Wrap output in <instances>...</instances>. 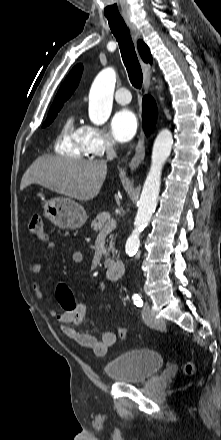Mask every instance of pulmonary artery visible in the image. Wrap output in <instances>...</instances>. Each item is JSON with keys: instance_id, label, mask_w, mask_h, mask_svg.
Wrapping results in <instances>:
<instances>
[{"instance_id": "e3ab8cb5", "label": "pulmonary artery", "mask_w": 221, "mask_h": 440, "mask_svg": "<svg viewBox=\"0 0 221 440\" xmlns=\"http://www.w3.org/2000/svg\"><path fill=\"white\" fill-rule=\"evenodd\" d=\"M115 100L122 105L128 104L131 101V94L127 88H119L114 95Z\"/></svg>"}]
</instances>
